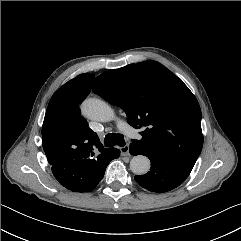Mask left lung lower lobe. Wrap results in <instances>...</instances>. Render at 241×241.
I'll use <instances>...</instances> for the list:
<instances>
[{
    "label": "left lung lower lobe",
    "mask_w": 241,
    "mask_h": 241,
    "mask_svg": "<svg viewBox=\"0 0 241 241\" xmlns=\"http://www.w3.org/2000/svg\"><path fill=\"white\" fill-rule=\"evenodd\" d=\"M132 155H145L151 161L150 171L145 175H136L138 184L152 192H167L178 187L189 176L193 167L180 164L176 161L147 154L131 143Z\"/></svg>",
    "instance_id": "0a47b994"
}]
</instances>
